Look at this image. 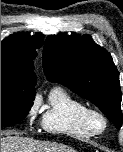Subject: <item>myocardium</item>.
<instances>
[{"label": "myocardium", "mask_w": 123, "mask_h": 152, "mask_svg": "<svg viewBox=\"0 0 123 152\" xmlns=\"http://www.w3.org/2000/svg\"><path fill=\"white\" fill-rule=\"evenodd\" d=\"M99 120L101 122V127L96 128L94 125V120ZM82 123L83 125L93 134V135H99L102 134L106 128H107V119L105 115L92 108H87L84 113L82 114Z\"/></svg>", "instance_id": "1"}]
</instances>
